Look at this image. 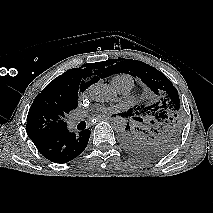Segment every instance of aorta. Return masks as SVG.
Returning <instances> with one entry per match:
<instances>
[{
    "mask_svg": "<svg viewBox=\"0 0 213 213\" xmlns=\"http://www.w3.org/2000/svg\"><path fill=\"white\" fill-rule=\"evenodd\" d=\"M89 95L96 102H107L112 99L113 91L111 87L104 83H95L89 87ZM127 122L125 118L116 117L112 122V127L118 132L125 131Z\"/></svg>",
    "mask_w": 213,
    "mask_h": 213,
    "instance_id": "obj_1",
    "label": "aorta"
}]
</instances>
